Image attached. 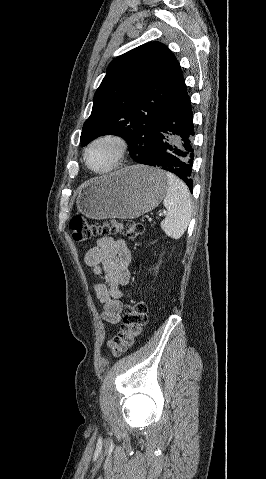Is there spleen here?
<instances>
[{
  "label": "spleen",
  "mask_w": 266,
  "mask_h": 479,
  "mask_svg": "<svg viewBox=\"0 0 266 479\" xmlns=\"http://www.w3.org/2000/svg\"><path fill=\"white\" fill-rule=\"evenodd\" d=\"M168 188L163 201L167 209L161 228L167 236L175 240L181 238L192 217L190 192L183 181L172 173H166Z\"/></svg>",
  "instance_id": "obj_1"
}]
</instances>
